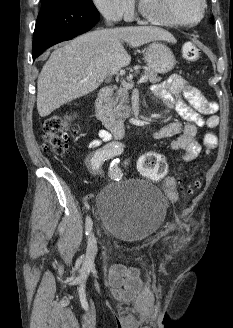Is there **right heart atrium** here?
<instances>
[{"instance_id":"right-heart-atrium-1","label":"right heart atrium","mask_w":233,"mask_h":328,"mask_svg":"<svg viewBox=\"0 0 233 328\" xmlns=\"http://www.w3.org/2000/svg\"><path fill=\"white\" fill-rule=\"evenodd\" d=\"M96 9L113 21L130 19L134 11V0H92Z\"/></svg>"}]
</instances>
